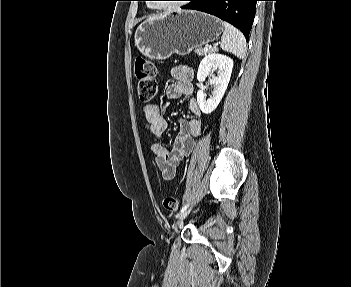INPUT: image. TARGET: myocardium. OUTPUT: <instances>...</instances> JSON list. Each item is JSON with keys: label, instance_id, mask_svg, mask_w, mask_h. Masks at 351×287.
Masks as SVG:
<instances>
[{"label": "myocardium", "instance_id": "f54148a6", "mask_svg": "<svg viewBox=\"0 0 351 287\" xmlns=\"http://www.w3.org/2000/svg\"><path fill=\"white\" fill-rule=\"evenodd\" d=\"M158 8H164L162 5H156Z\"/></svg>", "mask_w": 351, "mask_h": 287}]
</instances>
